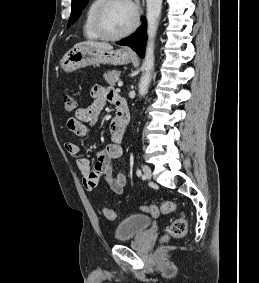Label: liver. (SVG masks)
<instances>
[{
    "mask_svg": "<svg viewBox=\"0 0 259 283\" xmlns=\"http://www.w3.org/2000/svg\"><path fill=\"white\" fill-rule=\"evenodd\" d=\"M80 46H91V47L107 49V50H111L113 48L109 43L96 42V41H85V42L77 43L74 45V48Z\"/></svg>",
    "mask_w": 259,
    "mask_h": 283,
    "instance_id": "liver-1",
    "label": "liver"
}]
</instances>
